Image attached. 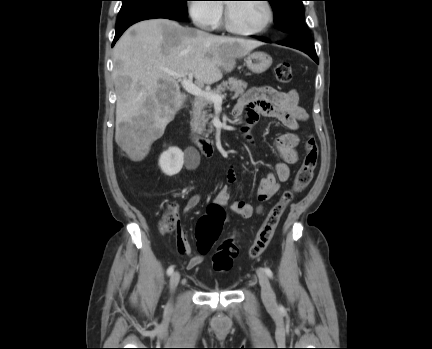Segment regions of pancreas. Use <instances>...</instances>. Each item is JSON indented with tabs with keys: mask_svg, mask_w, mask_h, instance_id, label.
Listing matches in <instances>:
<instances>
[{
	"mask_svg": "<svg viewBox=\"0 0 432 349\" xmlns=\"http://www.w3.org/2000/svg\"><path fill=\"white\" fill-rule=\"evenodd\" d=\"M247 88V83L242 80H238L237 78L230 77L227 81H223L220 85L217 86L216 89L211 92L216 94H222L227 89L234 93L232 98H238L242 95ZM213 102L209 99H206L201 96H197L194 101L193 106V118H192V126L199 133H205L207 135L211 134L214 131V127L212 123H208L209 120L213 117L211 112ZM208 124V129H206V125Z\"/></svg>",
	"mask_w": 432,
	"mask_h": 349,
	"instance_id": "cf45deb5",
	"label": "pancreas"
}]
</instances>
